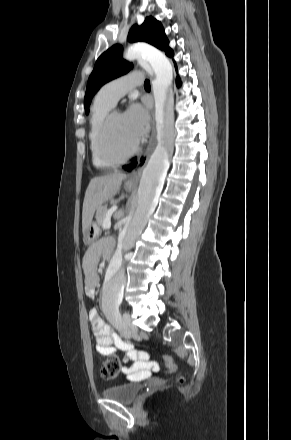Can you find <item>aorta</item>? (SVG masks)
Returning a JSON list of instances; mask_svg holds the SVG:
<instances>
[{"label":"aorta","mask_w":291,"mask_h":440,"mask_svg":"<svg viewBox=\"0 0 291 440\" xmlns=\"http://www.w3.org/2000/svg\"><path fill=\"white\" fill-rule=\"evenodd\" d=\"M124 58L128 61L136 59L147 61L155 74L152 89L157 129V146L142 172L135 208L123 228L118 243L119 250L126 252L134 246L148 218L155 210L169 168L170 151L165 139V129L168 123V104L171 97L169 90L173 79V67L163 53L146 44L129 47ZM114 263L103 286V300L118 305L123 297L126 276L120 255L116 256Z\"/></svg>","instance_id":"762f6f07"}]
</instances>
